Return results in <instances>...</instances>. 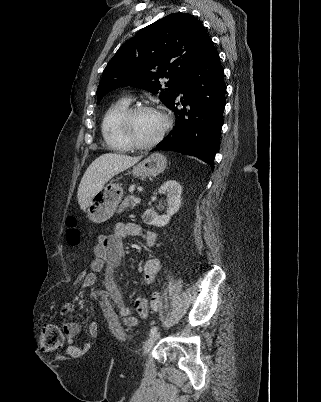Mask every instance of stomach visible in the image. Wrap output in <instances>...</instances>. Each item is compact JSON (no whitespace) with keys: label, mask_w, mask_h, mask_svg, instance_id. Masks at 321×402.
I'll return each mask as SVG.
<instances>
[{"label":"stomach","mask_w":321,"mask_h":402,"mask_svg":"<svg viewBox=\"0 0 321 402\" xmlns=\"http://www.w3.org/2000/svg\"><path fill=\"white\" fill-rule=\"evenodd\" d=\"M166 165V157L160 153H152L135 165L129 173L134 176H153L163 172ZM122 197L123 189L119 184L110 182L104 185L89 202L87 207L88 218L95 223L107 221L115 213Z\"/></svg>","instance_id":"stomach-1"}]
</instances>
